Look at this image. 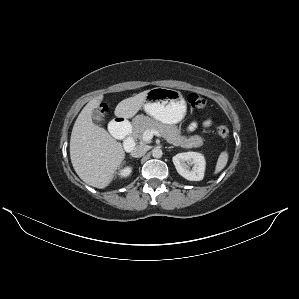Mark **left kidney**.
Listing matches in <instances>:
<instances>
[{
    "label": "left kidney",
    "mask_w": 299,
    "mask_h": 299,
    "mask_svg": "<svg viewBox=\"0 0 299 299\" xmlns=\"http://www.w3.org/2000/svg\"><path fill=\"white\" fill-rule=\"evenodd\" d=\"M177 172L189 181H200L204 177L205 158L197 152L178 153L172 158ZM187 163L193 165L190 170Z\"/></svg>",
    "instance_id": "1"
}]
</instances>
